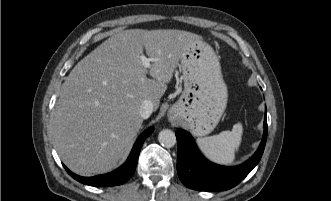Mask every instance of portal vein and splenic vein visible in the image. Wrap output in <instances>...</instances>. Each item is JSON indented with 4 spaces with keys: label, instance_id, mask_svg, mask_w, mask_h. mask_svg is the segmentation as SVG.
I'll use <instances>...</instances> for the list:
<instances>
[{
    "label": "portal vein and splenic vein",
    "instance_id": "portal-vein-and-splenic-vein-1",
    "mask_svg": "<svg viewBox=\"0 0 331 201\" xmlns=\"http://www.w3.org/2000/svg\"><path fill=\"white\" fill-rule=\"evenodd\" d=\"M140 59L142 61V65L145 67V68H149L150 67V62H153V61H156L155 58H147L146 56L144 55H141L140 56Z\"/></svg>",
    "mask_w": 331,
    "mask_h": 201
}]
</instances>
